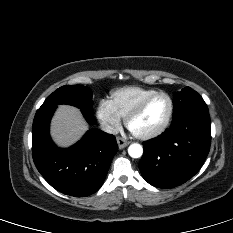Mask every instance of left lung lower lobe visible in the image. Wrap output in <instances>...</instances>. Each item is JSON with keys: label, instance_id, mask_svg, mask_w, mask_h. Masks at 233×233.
Returning <instances> with one entry per match:
<instances>
[{"label": "left lung lower lobe", "instance_id": "1", "mask_svg": "<svg viewBox=\"0 0 233 233\" xmlns=\"http://www.w3.org/2000/svg\"><path fill=\"white\" fill-rule=\"evenodd\" d=\"M211 144L208 110L195 109L173 119L160 136L144 142L139 163L143 178L159 188L179 186L203 165Z\"/></svg>", "mask_w": 233, "mask_h": 233}]
</instances>
